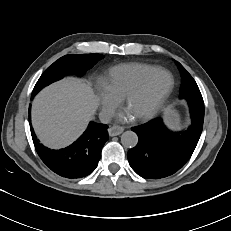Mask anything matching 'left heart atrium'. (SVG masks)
I'll use <instances>...</instances> for the list:
<instances>
[{"mask_svg": "<svg viewBox=\"0 0 231 231\" xmlns=\"http://www.w3.org/2000/svg\"><path fill=\"white\" fill-rule=\"evenodd\" d=\"M134 116L132 115V113L126 109L124 110L122 113L119 114V120L120 121H128L131 120Z\"/></svg>", "mask_w": 231, "mask_h": 231, "instance_id": "39dd6f15", "label": "left heart atrium"}]
</instances>
